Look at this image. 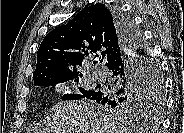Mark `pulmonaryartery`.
<instances>
[{
  "label": "pulmonary artery",
  "mask_w": 184,
  "mask_h": 133,
  "mask_svg": "<svg viewBox=\"0 0 184 133\" xmlns=\"http://www.w3.org/2000/svg\"><path fill=\"white\" fill-rule=\"evenodd\" d=\"M92 78L96 81H104L105 80V74L98 70V69H93L91 72Z\"/></svg>",
  "instance_id": "pulmonary-artery-1"
}]
</instances>
